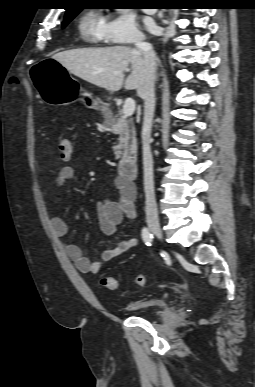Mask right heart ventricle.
<instances>
[{
  "mask_svg": "<svg viewBox=\"0 0 255 387\" xmlns=\"http://www.w3.org/2000/svg\"><path fill=\"white\" fill-rule=\"evenodd\" d=\"M105 18L94 11L85 13L79 22L78 29L81 37L89 43H98L103 40Z\"/></svg>",
  "mask_w": 255,
  "mask_h": 387,
  "instance_id": "obj_1",
  "label": "right heart ventricle"
}]
</instances>
